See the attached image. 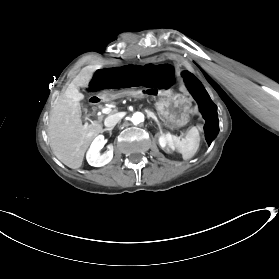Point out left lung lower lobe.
Listing matches in <instances>:
<instances>
[{
    "label": "left lung lower lobe",
    "mask_w": 279,
    "mask_h": 279,
    "mask_svg": "<svg viewBox=\"0 0 279 279\" xmlns=\"http://www.w3.org/2000/svg\"><path fill=\"white\" fill-rule=\"evenodd\" d=\"M182 75L184 76L190 93L198 102L199 109L206 121L204 132L206 141L208 145H210L217 135L219 126L216 105L212 102L200 81L193 74L190 72H184Z\"/></svg>",
    "instance_id": "left-lung-lower-lobe-1"
}]
</instances>
